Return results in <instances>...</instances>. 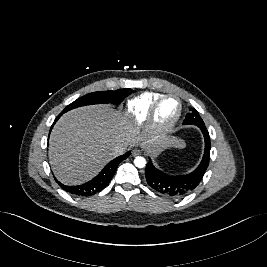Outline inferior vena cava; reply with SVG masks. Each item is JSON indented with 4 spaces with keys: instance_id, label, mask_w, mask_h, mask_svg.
Instances as JSON below:
<instances>
[{
    "instance_id": "obj_1",
    "label": "inferior vena cava",
    "mask_w": 267,
    "mask_h": 267,
    "mask_svg": "<svg viewBox=\"0 0 267 267\" xmlns=\"http://www.w3.org/2000/svg\"><path fill=\"white\" fill-rule=\"evenodd\" d=\"M126 149L127 147L125 145L119 144L114 147L113 151H114V154L117 156V155L123 154Z\"/></svg>"
}]
</instances>
